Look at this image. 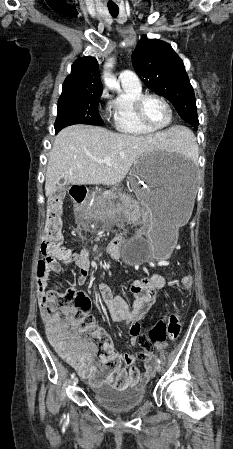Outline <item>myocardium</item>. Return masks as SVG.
Returning a JSON list of instances; mask_svg holds the SVG:
<instances>
[{
  "instance_id": "obj_1",
  "label": "myocardium",
  "mask_w": 233,
  "mask_h": 449,
  "mask_svg": "<svg viewBox=\"0 0 233 449\" xmlns=\"http://www.w3.org/2000/svg\"><path fill=\"white\" fill-rule=\"evenodd\" d=\"M150 98H154V99L161 101L167 108V111L169 114L168 121L162 126L151 125L144 116L143 106H144L145 101ZM134 113H135V117H136L137 121L143 127H145L146 129H148L150 131H153V132L160 131V130L167 128L172 123V120H173V111H172L171 105L164 97H162L158 94H155V93L142 94L141 96H139L134 102Z\"/></svg>"
}]
</instances>
